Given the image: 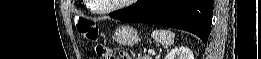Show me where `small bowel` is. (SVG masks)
<instances>
[{"mask_svg":"<svg viewBox=\"0 0 261 59\" xmlns=\"http://www.w3.org/2000/svg\"><path fill=\"white\" fill-rule=\"evenodd\" d=\"M121 58H123V59H130V56L128 55V53L122 52Z\"/></svg>","mask_w":261,"mask_h":59,"instance_id":"1","label":"small bowel"}]
</instances>
